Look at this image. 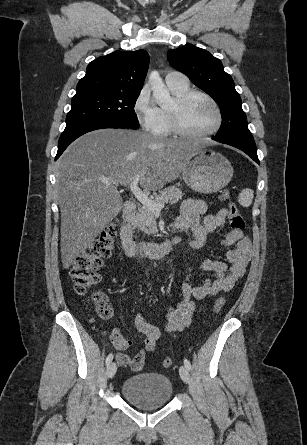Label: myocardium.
I'll use <instances>...</instances> for the list:
<instances>
[{"label": "myocardium", "mask_w": 307, "mask_h": 445, "mask_svg": "<svg viewBox=\"0 0 307 445\" xmlns=\"http://www.w3.org/2000/svg\"><path fill=\"white\" fill-rule=\"evenodd\" d=\"M194 98L204 99L215 107L218 114V122L213 129L206 132H194L185 125L183 111L186 105ZM166 113L173 132L181 136L175 139H203L212 136L221 130L225 122V114L221 105L210 95L198 90H189L183 95L173 97L166 108Z\"/></svg>", "instance_id": "1"}]
</instances>
